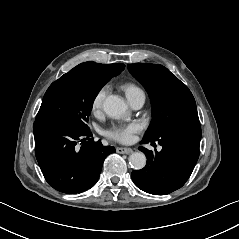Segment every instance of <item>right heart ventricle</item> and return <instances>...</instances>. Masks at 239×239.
<instances>
[{
    "instance_id": "obj_1",
    "label": "right heart ventricle",
    "mask_w": 239,
    "mask_h": 239,
    "mask_svg": "<svg viewBox=\"0 0 239 239\" xmlns=\"http://www.w3.org/2000/svg\"><path fill=\"white\" fill-rule=\"evenodd\" d=\"M125 88H126L127 93L132 92L136 89H139L137 86H135L133 84H127Z\"/></svg>"
}]
</instances>
